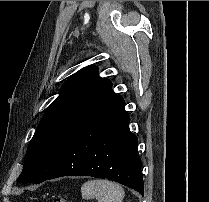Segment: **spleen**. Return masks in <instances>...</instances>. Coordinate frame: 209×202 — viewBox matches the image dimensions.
I'll list each match as a JSON object with an SVG mask.
<instances>
[{"label": "spleen", "mask_w": 209, "mask_h": 202, "mask_svg": "<svg viewBox=\"0 0 209 202\" xmlns=\"http://www.w3.org/2000/svg\"><path fill=\"white\" fill-rule=\"evenodd\" d=\"M83 199H96L98 202H122L124 189L108 180H90L81 187Z\"/></svg>", "instance_id": "obj_1"}]
</instances>
